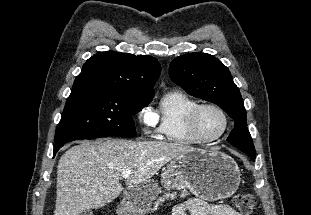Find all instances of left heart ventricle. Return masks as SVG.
I'll use <instances>...</instances> for the list:
<instances>
[{"mask_svg": "<svg viewBox=\"0 0 311 215\" xmlns=\"http://www.w3.org/2000/svg\"><path fill=\"white\" fill-rule=\"evenodd\" d=\"M224 122L221 115L214 109L206 108L201 111L198 126L202 134L207 137L217 135L223 128Z\"/></svg>", "mask_w": 311, "mask_h": 215, "instance_id": "b2bd125f", "label": "left heart ventricle"}]
</instances>
